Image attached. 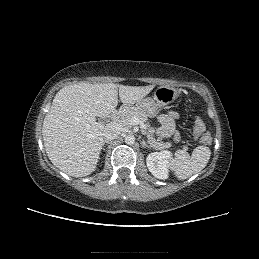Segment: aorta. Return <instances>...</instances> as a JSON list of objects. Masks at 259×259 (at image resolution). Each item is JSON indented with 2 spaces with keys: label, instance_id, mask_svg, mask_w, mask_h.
Listing matches in <instances>:
<instances>
[{
  "label": "aorta",
  "instance_id": "762f6f07",
  "mask_svg": "<svg viewBox=\"0 0 259 259\" xmlns=\"http://www.w3.org/2000/svg\"><path fill=\"white\" fill-rule=\"evenodd\" d=\"M135 142V137L132 134L125 136V143L131 145Z\"/></svg>",
  "mask_w": 259,
  "mask_h": 259
}]
</instances>
